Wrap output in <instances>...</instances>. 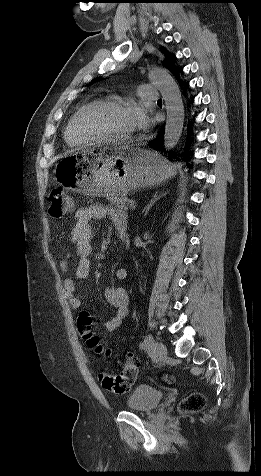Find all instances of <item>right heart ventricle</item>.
<instances>
[{
  "label": "right heart ventricle",
  "instance_id": "e07e8e85",
  "mask_svg": "<svg viewBox=\"0 0 261 476\" xmlns=\"http://www.w3.org/2000/svg\"><path fill=\"white\" fill-rule=\"evenodd\" d=\"M78 112V111H77ZM77 112H75L69 119L66 129H65V140L66 143L71 146V147H79L83 146L87 141L83 140L77 133L75 129V118L77 115Z\"/></svg>",
  "mask_w": 261,
  "mask_h": 476
}]
</instances>
